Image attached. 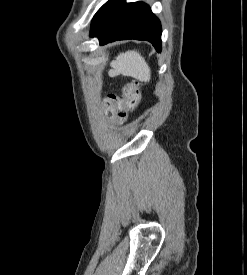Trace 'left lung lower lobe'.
Returning a JSON list of instances; mask_svg holds the SVG:
<instances>
[{
	"instance_id": "1",
	"label": "left lung lower lobe",
	"mask_w": 247,
	"mask_h": 275,
	"mask_svg": "<svg viewBox=\"0 0 247 275\" xmlns=\"http://www.w3.org/2000/svg\"><path fill=\"white\" fill-rule=\"evenodd\" d=\"M161 24L143 2L126 3L109 0L95 14L91 36L98 37L100 45L116 40L136 39L152 43L161 52Z\"/></svg>"
}]
</instances>
